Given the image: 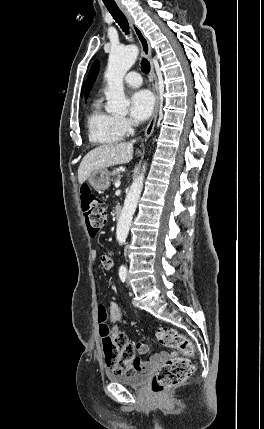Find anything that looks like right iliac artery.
I'll return each mask as SVG.
<instances>
[{"label": "right iliac artery", "instance_id": "right-iliac-artery-1", "mask_svg": "<svg viewBox=\"0 0 264 429\" xmlns=\"http://www.w3.org/2000/svg\"><path fill=\"white\" fill-rule=\"evenodd\" d=\"M119 277L122 280V282H125L126 277H127V270H126V268L123 267V268L119 269Z\"/></svg>", "mask_w": 264, "mask_h": 429}]
</instances>
